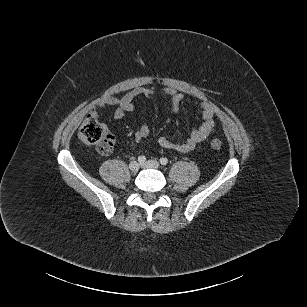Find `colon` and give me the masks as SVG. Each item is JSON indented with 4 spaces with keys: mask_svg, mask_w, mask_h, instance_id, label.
Wrapping results in <instances>:
<instances>
[{
    "mask_svg": "<svg viewBox=\"0 0 307 307\" xmlns=\"http://www.w3.org/2000/svg\"><path fill=\"white\" fill-rule=\"evenodd\" d=\"M78 137L83 144L94 146L102 155L111 153L115 140L106 126L92 115H89L81 125ZM211 147L219 150L221 148V142L218 139H213L211 141Z\"/></svg>",
    "mask_w": 307,
    "mask_h": 307,
    "instance_id": "colon-1",
    "label": "colon"
}]
</instances>
